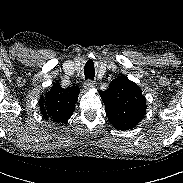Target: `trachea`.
Listing matches in <instances>:
<instances>
[{
	"label": "trachea",
	"instance_id": "obj_1",
	"mask_svg": "<svg viewBox=\"0 0 183 183\" xmlns=\"http://www.w3.org/2000/svg\"><path fill=\"white\" fill-rule=\"evenodd\" d=\"M84 75H85V79H91L93 80L94 76H95V69H94V62L93 60L89 59L84 67Z\"/></svg>",
	"mask_w": 183,
	"mask_h": 183
}]
</instances>
